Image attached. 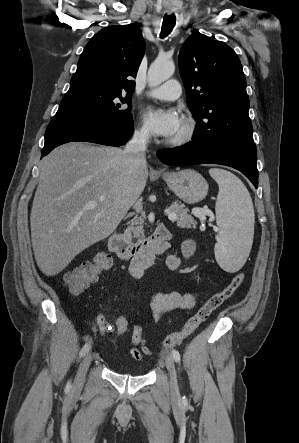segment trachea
Listing matches in <instances>:
<instances>
[{"label":"trachea","mask_w":299,"mask_h":443,"mask_svg":"<svg viewBox=\"0 0 299 443\" xmlns=\"http://www.w3.org/2000/svg\"><path fill=\"white\" fill-rule=\"evenodd\" d=\"M176 20L174 15H165L162 23V30L160 37H167L173 30Z\"/></svg>","instance_id":"trachea-1"}]
</instances>
